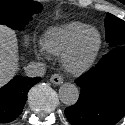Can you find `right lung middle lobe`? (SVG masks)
I'll use <instances>...</instances> for the list:
<instances>
[{
    "label": "right lung middle lobe",
    "instance_id": "1",
    "mask_svg": "<svg viewBox=\"0 0 125 125\" xmlns=\"http://www.w3.org/2000/svg\"><path fill=\"white\" fill-rule=\"evenodd\" d=\"M42 10L43 6L32 0H0V24L22 30Z\"/></svg>",
    "mask_w": 125,
    "mask_h": 125
}]
</instances>
